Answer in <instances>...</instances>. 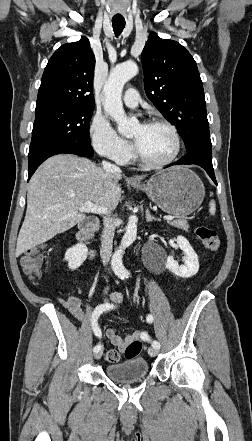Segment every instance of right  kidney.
Wrapping results in <instances>:
<instances>
[{"label": "right kidney", "instance_id": "right-kidney-1", "mask_svg": "<svg viewBox=\"0 0 252 441\" xmlns=\"http://www.w3.org/2000/svg\"><path fill=\"white\" fill-rule=\"evenodd\" d=\"M87 254L88 249L82 243L69 248L65 253V260L68 262L69 269L76 270L79 268L86 260Z\"/></svg>", "mask_w": 252, "mask_h": 441}]
</instances>
